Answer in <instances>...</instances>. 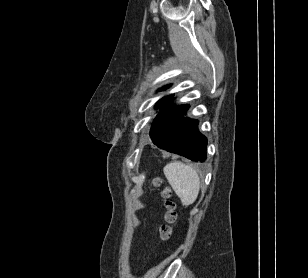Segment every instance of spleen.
Masks as SVG:
<instances>
[{"instance_id":"spleen-1","label":"spleen","mask_w":308,"mask_h":278,"mask_svg":"<svg viewBox=\"0 0 308 278\" xmlns=\"http://www.w3.org/2000/svg\"><path fill=\"white\" fill-rule=\"evenodd\" d=\"M163 171L182 204L184 206L193 204L200 190V179L197 171L181 161L168 163Z\"/></svg>"}]
</instances>
